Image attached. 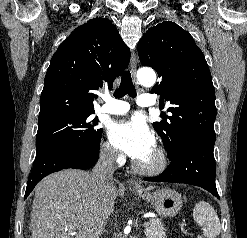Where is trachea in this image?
<instances>
[{
  "label": "trachea",
  "mask_w": 247,
  "mask_h": 238,
  "mask_svg": "<svg viewBox=\"0 0 247 238\" xmlns=\"http://www.w3.org/2000/svg\"><path fill=\"white\" fill-rule=\"evenodd\" d=\"M125 94H128L132 98L136 96V89L133 85L131 74L129 71H126L123 73L121 77L120 86L115 91L114 96L116 98H120V97H123Z\"/></svg>",
  "instance_id": "3493384b"
}]
</instances>
